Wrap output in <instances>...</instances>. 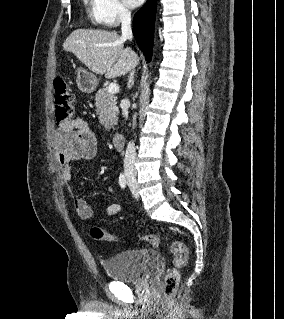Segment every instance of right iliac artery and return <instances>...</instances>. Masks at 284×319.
Returning <instances> with one entry per match:
<instances>
[{"instance_id":"obj_1","label":"right iliac artery","mask_w":284,"mask_h":319,"mask_svg":"<svg viewBox=\"0 0 284 319\" xmlns=\"http://www.w3.org/2000/svg\"><path fill=\"white\" fill-rule=\"evenodd\" d=\"M126 177L123 173L120 174L119 176V185L121 186V188H125L126 187Z\"/></svg>"}]
</instances>
